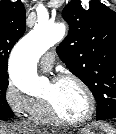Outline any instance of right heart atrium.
<instances>
[{"label": "right heart atrium", "instance_id": "1", "mask_svg": "<svg viewBox=\"0 0 116 134\" xmlns=\"http://www.w3.org/2000/svg\"><path fill=\"white\" fill-rule=\"evenodd\" d=\"M3 96L10 110L18 116L31 115L35 109L36 100L24 94L12 80H8Z\"/></svg>", "mask_w": 116, "mask_h": 134}]
</instances>
